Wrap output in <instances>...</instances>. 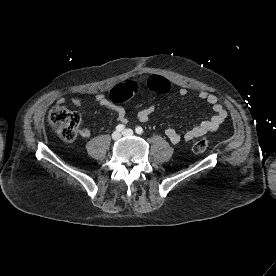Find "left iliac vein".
Listing matches in <instances>:
<instances>
[{
    "label": "left iliac vein",
    "mask_w": 276,
    "mask_h": 276,
    "mask_svg": "<svg viewBox=\"0 0 276 276\" xmlns=\"http://www.w3.org/2000/svg\"><path fill=\"white\" fill-rule=\"evenodd\" d=\"M133 133H134V132H133L132 129H126V130L123 131L122 134H123L124 136H132Z\"/></svg>",
    "instance_id": "left-iliac-vein-1"
}]
</instances>
